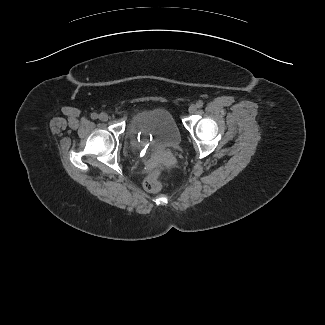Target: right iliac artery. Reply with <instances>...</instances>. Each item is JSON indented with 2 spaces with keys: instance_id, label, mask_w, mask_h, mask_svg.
I'll return each mask as SVG.
<instances>
[{
  "instance_id": "right-iliac-artery-1",
  "label": "right iliac artery",
  "mask_w": 325,
  "mask_h": 325,
  "mask_svg": "<svg viewBox=\"0 0 325 325\" xmlns=\"http://www.w3.org/2000/svg\"><path fill=\"white\" fill-rule=\"evenodd\" d=\"M91 118H92V119H97V118H98V115H97L96 113H92V114H91Z\"/></svg>"
}]
</instances>
